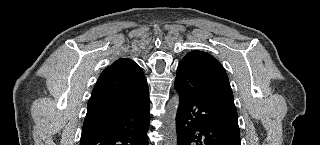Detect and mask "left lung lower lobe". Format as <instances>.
<instances>
[{
  "instance_id": "left-lung-lower-lobe-1",
  "label": "left lung lower lobe",
  "mask_w": 320,
  "mask_h": 145,
  "mask_svg": "<svg viewBox=\"0 0 320 145\" xmlns=\"http://www.w3.org/2000/svg\"><path fill=\"white\" fill-rule=\"evenodd\" d=\"M175 89L178 145H241L237 117L223 105L227 82L218 75L181 61Z\"/></svg>"
}]
</instances>
